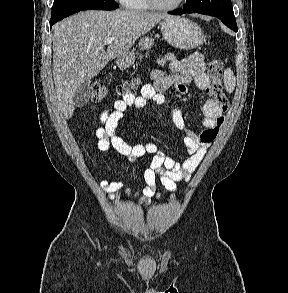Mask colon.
I'll return each mask as SVG.
<instances>
[{
	"mask_svg": "<svg viewBox=\"0 0 288 293\" xmlns=\"http://www.w3.org/2000/svg\"><path fill=\"white\" fill-rule=\"evenodd\" d=\"M208 74L210 78V84L207 89L208 93L214 97V100L222 110H226L228 108V99L222 87L223 63L218 59H213L208 65ZM138 87L139 81L134 79L126 81L119 86L118 92L122 96L133 94ZM107 94V86L102 82H95L91 87V102L98 104L106 98Z\"/></svg>",
	"mask_w": 288,
	"mask_h": 293,
	"instance_id": "obj_1",
	"label": "colon"
}]
</instances>
